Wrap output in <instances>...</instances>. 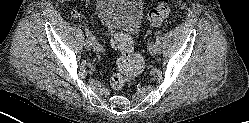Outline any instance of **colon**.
Listing matches in <instances>:
<instances>
[{
  "instance_id": "colon-1",
  "label": "colon",
  "mask_w": 249,
  "mask_h": 123,
  "mask_svg": "<svg viewBox=\"0 0 249 123\" xmlns=\"http://www.w3.org/2000/svg\"><path fill=\"white\" fill-rule=\"evenodd\" d=\"M169 14L167 3H160L148 13V20L152 24H159ZM112 46L119 51L117 60L118 71L110 78V86L114 90L122 89L125 84L137 77L144 69V60L134 50V44L129 36L120 33L112 40Z\"/></svg>"
}]
</instances>
